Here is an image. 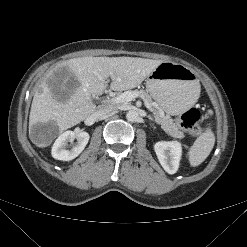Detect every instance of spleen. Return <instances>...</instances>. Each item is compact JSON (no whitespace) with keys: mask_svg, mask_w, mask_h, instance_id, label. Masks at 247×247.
I'll return each instance as SVG.
<instances>
[{"mask_svg":"<svg viewBox=\"0 0 247 247\" xmlns=\"http://www.w3.org/2000/svg\"><path fill=\"white\" fill-rule=\"evenodd\" d=\"M215 144V136L210 127L196 139L191 146L188 156L190 165L195 167L200 165L209 156Z\"/></svg>","mask_w":247,"mask_h":247,"instance_id":"3e777b00","label":"spleen"}]
</instances>
